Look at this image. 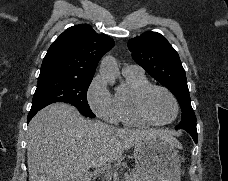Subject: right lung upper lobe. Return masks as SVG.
<instances>
[{"instance_id": "right-lung-upper-lobe-1", "label": "right lung upper lobe", "mask_w": 228, "mask_h": 181, "mask_svg": "<svg viewBox=\"0 0 228 181\" xmlns=\"http://www.w3.org/2000/svg\"><path fill=\"white\" fill-rule=\"evenodd\" d=\"M113 46L112 38L96 33L88 25L72 26L48 49L39 77L92 79L99 60Z\"/></svg>"}]
</instances>
